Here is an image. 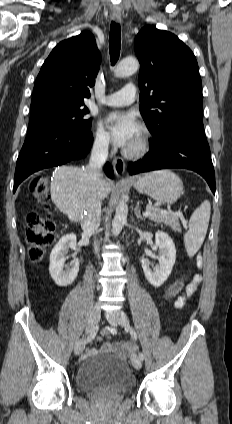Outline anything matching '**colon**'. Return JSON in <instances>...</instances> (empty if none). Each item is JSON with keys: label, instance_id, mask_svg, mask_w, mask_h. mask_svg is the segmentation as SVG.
Segmentation results:
<instances>
[{"label": "colon", "instance_id": "5ec220e1", "mask_svg": "<svg viewBox=\"0 0 232 424\" xmlns=\"http://www.w3.org/2000/svg\"><path fill=\"white\" fill-rule=\"evenodd\" d=\"M29 189L32 196L40 203H46L49 200V193L42 177H36L30 181ZM26 242L28 244L29 258L33 262L40 261L46 249L53 243L54 224L50 218L43 217L37 212L31 211L26 217ZM186 274L175 280L165 291L164 300H170L175 297L182 289ZM132 345L128 344L127 339H122L118 343V348L127 351Z\"/></svg>", "mask_w": 232, "mask_h": 424}]
</instances>
